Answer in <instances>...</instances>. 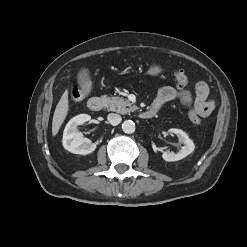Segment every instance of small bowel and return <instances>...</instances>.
<instances>
[{
  "label": "small bowel",
  "mask_w": 247,
  "mask_h": 247,
  "mask_svg": "<svg viewBox=\"0 0 247 247\" xmlns=\"http://www.w3.org/2000/svg\"><path fill=\"white\" fill-rule=\"evenodd\" d=\"M196 96L193 99L191 93L186 89H180L177 86H164L160 88L154 98L151 107L159 110L164 104L173 100H179L185 106H193L201 117H207L214 109V102L209 99L208 85L200 81L195 86Z\"/></svg>",
  "instance_id": "obj_1"
}]
</instances>
